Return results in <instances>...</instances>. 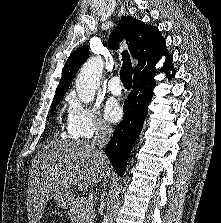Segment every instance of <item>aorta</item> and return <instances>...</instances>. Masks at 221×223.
I'll return each mask as SVG.
<instances>
[{
	"label": "aorta",
	"instance_id": "aorta-1",
	"mask_svg": "<svg viewBox=\"0 0 221 223\" xmlns=\"http://www.w3.org/2000/svg\"><path fill=\"white\" fill-rule=\"evenodd\" d=\"M101 57H93L82 66L76 79V92L83 103H89L94 99L96 90L99 88L103 71Z\"/></svg>",
	"mask_w": 221,
	"mask_h": 223
}]
</instances>
